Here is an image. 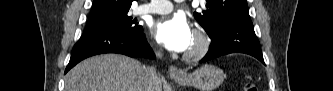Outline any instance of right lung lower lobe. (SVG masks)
<instances>
[{"label": "right lung lower lobe", "mask_w": 333, "mask_h": 91, "mask_svg": "<svg viewBox=\"0 0 333 91\" xmlns=\"http://www.w3.org/2000/svg\"><path fill=\"white\" fill-rule=\"evenodd\" d=\"M103 53H120L130 57H154L143 32L131 33L116 29H85L72 50L65 73L83 59Z\"/></svg>", "instance_id": "right-lung-lower-lobe-1"}]
</instances>
